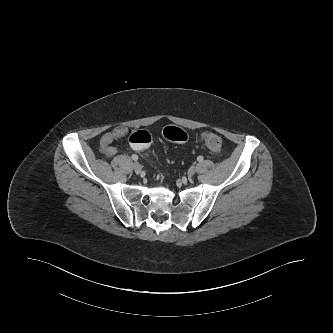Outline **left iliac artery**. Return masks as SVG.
<instances>
[{"label":"left iliac artery","instance_id":"obj_1","mask_svg":"<svg viewBox=\"0 0 333 333\" xmlns=\"http://www.w3.org/2000/svg\"><path fill=\"white\" fill-rule=\"evenodd\" d=\"M197 160H198L199 162L203 161V156H198Z\"/></svg>","mask_w":333,"mask_h":333}]
</instances>
